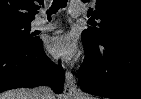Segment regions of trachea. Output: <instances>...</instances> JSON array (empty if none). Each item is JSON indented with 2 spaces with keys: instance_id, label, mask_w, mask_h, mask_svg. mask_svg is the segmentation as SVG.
Masks as SVG:
<instances>
[{
  "instance_id": "1",
  "label": "trachea",
  "mask_w": 141,
  "mask_h": 99,
  "mask_svg": "<svg viewBox=\"0 0 141 99\" xmlns=\"http://www.w3.org/2000/svg\"><path fill=\"white\" fill-rule=\"evenodd\" d=\"M67 5V0H54L52 6L47 12L48 19H51V15L55 14L60 8H64Z\"/></svg>"
}]
</instances>
